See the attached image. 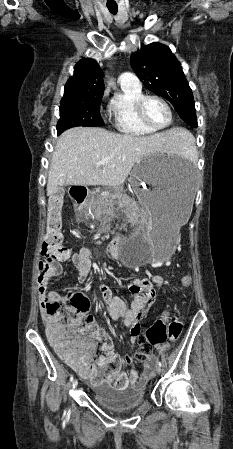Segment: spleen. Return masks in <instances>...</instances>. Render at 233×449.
Returning <instances> with one entry per match:
<instances>
[{
    "label": "spleen",
    "instance_id": "3e777b00",
    "mask_svg": "<svg viewBox=\"0 0 233 449\" xmlns=\"http://www.w3.org/2000/svg\"><path fill=\"white\" fill-rule=\"evenodd\" d=\"M177 154L191 156L195 152V146L192 135L186 131L184 139L174 149Z\"/></svg>",
    "mask_w": 233,
    "mask_h": 449
}]
</instances>
